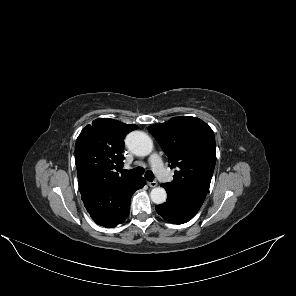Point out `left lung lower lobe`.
<instances>
[{"label":"left lung lower lobe","mask_w":296,"mask_h":296,"mask_svg":"<svg viewBox=\"0 0 296 296\" xmlns=\"http://www.w3.org/2000/svg\"><path fill=\"white\" fill-rule=\"evenodd\" d=\"M167 201L156 206V211L173 224H183L192 219L204 202V198L178 196L167 193Z\"/></svg>","instance_id":"1"}]
</instances>
